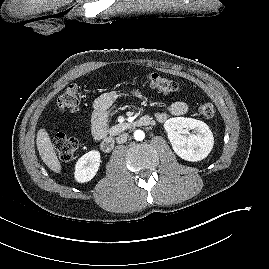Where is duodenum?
Returning <instances> with one entry per match:
<instances>
[{"instance_id": "410a0bca", "label": "duodenum", "mask_w": 269, "mask_h": 269, "mask_svg": "<svg viewBox=\"0 0 269 269\" xmlns=\"http://www.w3.org/2000/svg\"><path fill=\"white\" fill-rule=\"evenodd\" d=\"M151 124V119L148 116L141 117L137 121L138 126H148ZM115 146V137L114 135H107L101 141V149L104 152H111Z\"/></svg>"}]
</instances>
